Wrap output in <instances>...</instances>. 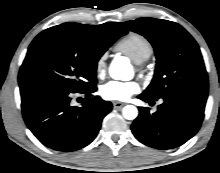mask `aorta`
Returning a JSON list of instances; mask_svg holds the SVG:
<instances>
[{"mask_svg":"<svg viewBox=\"0 0 220 173\" xmlns=\"http://www.w3.org/2000/svg\"><path fill=\"white\" fill-rule=\"evenodd\" d=\"M109 74L115 80H129L132 76V70L124 58L120 57L112 61ZM122 114L127 120H134L138 116V110L133 105H127L123 108Z\"/></svg>","mask_w":220,"mask_h":173,"instance_id":"obj_1","label":"aorta"}]
</instances>
